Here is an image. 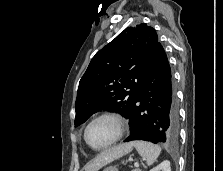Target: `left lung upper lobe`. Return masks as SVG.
Masks as SVG:
<instances>
[{"mask_svg": "<svg viewBox=\"0 0 223 171\" xmlns=\"http://www.w3.org/2000/svg\"><path fill=\"white\" fill-rule=\"evenodd\" d=\"M158 44L155 29L142 23L98 51L79 82L75 127L100 110L129 118Z\"/></svg>", "mask_w": 223, "mask_h": 171, "instance_id": "1", "label": "left lung upper lobe"}]
</instances>
